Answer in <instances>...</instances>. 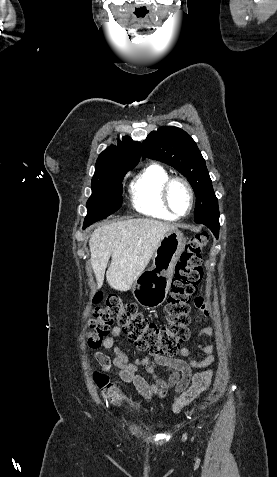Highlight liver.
I'll return each instance as SVG.
<instances>
[{"label": "liver", "mask_w": 277, "mask_h": 477, "mask_svg": "<svg viewBox=\"0 0 277 477\" xmlns=\"http://www.w3.org/2000/svg\"><path fill=\"white\" fill-rule=\"evenodd\" d=\"M176 226L166 222L137 218L98 227L90 236L91 265L97 287L108 284L115 290L127 291L144 271L164 235Z\"/></svg>", "instance_id": "liver-1"}]
</instances>
